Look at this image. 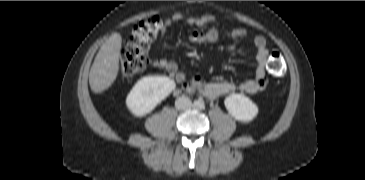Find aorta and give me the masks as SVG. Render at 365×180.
I'll return each mask as SVG.
<instances>
[{
    "label": "aorta",
    "mask_w": 365,
    "mask_h": 180,
    "mask_svg": "<svg viewBox=\"0 0 365 180\" xmlns=\"http://www.w3.org/2000/svg\"><path fill=\"white\" fill-rule=\"evenodd\" d=\"M197 106H198V107H201V106H202V103H198V104H197Z\"/></svg>",
    "instance_id": "762f6f07"
}]
</instances>
